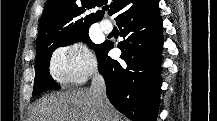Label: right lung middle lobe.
Returning a JSON list of instances; mask_svg holds the SVG:
<instances>
[{"label":"right lung middle lobe","mask_w":217,"mask_h":121,"mask_svg":"<svg viewBox=\"0 0 217 121\" xmlns=\"http://www.w3.org/2000/svg\"><path fill=\"white\" fill-rule=\"evenodd\" d=\"M88 28L79 30L77 32H74L62 39H58L51 42H45L38 44L36 49V58H35V80H34V89H33V95L40 94L46 90H51L54 88H57L58 86L54 87L55 82L51 78L49 74V63L50 58L52 55V52L60 47V46H66L70 45L72 43H75L77 41L85 42L89 45L90 48H94L96 56L98 57L101 49L104 45L102 44H94L89 38L88 35Z\"/></svg>","instance_id":"1"}]
</instances>
